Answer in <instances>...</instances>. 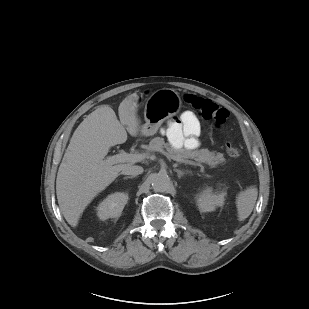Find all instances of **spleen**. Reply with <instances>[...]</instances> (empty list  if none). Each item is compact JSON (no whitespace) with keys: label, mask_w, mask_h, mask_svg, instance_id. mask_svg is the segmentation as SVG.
Listing matches in <instances>:
<instances>
[{"label":"spleen","mask_w":309,"mask_h":309,"mask_svg":"<svg viewBox=\"0 0 309 309\" xmlns=\"http://www.w3.org/2000/svg\"><path fill=\"white\" fill-rule=\"evenodd\" d=\"M258 196V190L255 186H250L240 192L236 198L238 219L245 220L253 211Z\"/></svg>","instance_id":"1"}]
</instances>
